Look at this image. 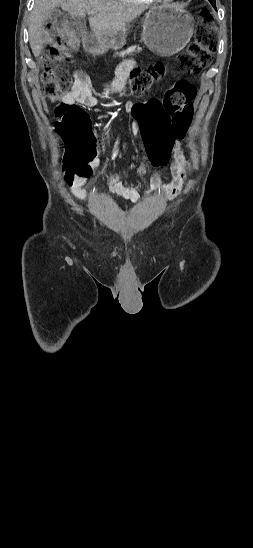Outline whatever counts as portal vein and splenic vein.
Wrapping results in <instances>:
<instances>
[{
    "instance_id": "portal-vein-and-splenic-vein-1",
    "label": "portal vein and splenic vein",
    "mask_w": 253,
    "mask_h": 548,
    "mask_svg": "<svg viewBox=\"0 0 253 548\" xmlns=\"http://www.w3.org/2000/svg\"><path fill=\"white\" fill-rule=\"evenodd\" d=\"M88 14H93L94 12L91 10H87Z\"/></svg>"
}]
</instances>
